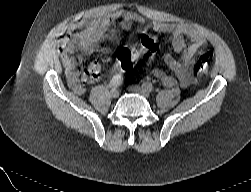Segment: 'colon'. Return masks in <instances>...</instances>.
Here are the masks:
<instances>
[{"label":"colon","mask_w":251,"mask_h":192,"mask_svg":"<svg viewBox=\"0 0 251 192\" xmlns=\"http://www.w3.org/2000/svg\"><path fill=\"white\" fill-rule=\"evenodd\" d=\"M159 48V39L151 33L142 34L138 43L133 47H124L118 55V65L121 70L127 71L141 59L152 58ZM211 53L207 50H200L196 54V66L198 69H205L211 60Z\"/></svg>","instance_id":"obj_1"}]
</instances>
